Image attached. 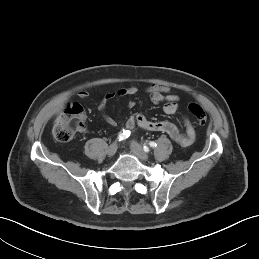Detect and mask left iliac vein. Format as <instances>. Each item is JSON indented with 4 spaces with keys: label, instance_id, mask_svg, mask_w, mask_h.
Returning a JSON list of instances; mask_svg holds the SVG:
<instances>
[{
    "label": "left iliac vein",
    "instance_id": "4c4485c4",
    "mask_svg": "<svg viewBox=\"0 0 259 259\" xmlns=\"http://www.w3.org/2000/svg\"><path fill=\"white\" fill-rule=\"evenodd\" d=\"M130 147L132 152H134L141 160H148V154L144 151L143 147L139 143L132 141Z\"/></svg>",
    "mask_w": 259,
    "mask_h": 259
}]
</instances>
